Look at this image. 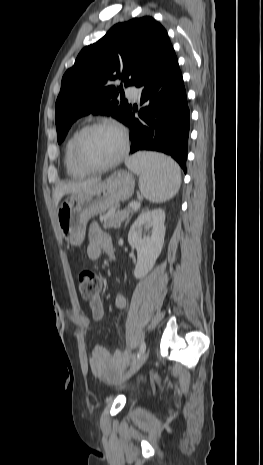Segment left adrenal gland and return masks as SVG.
Wrapping results in <instances>:
<instances>
[{
	"label": "left adrenal gland",
	"instance_id": "1",
	"mask_svg": "<svg viewBox=\"0 0 263 465\" xmlns=\"http://www.w3.org/2000/svg\"><path fill=\"white\" fill-rule=\"evenodd\" d=\"M128 222H129V219L126 221V224H125V225H127Z\"/></svg>",
	"mask_w": 263,
	"mask_h": 465
}]
</instances>
